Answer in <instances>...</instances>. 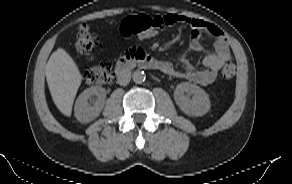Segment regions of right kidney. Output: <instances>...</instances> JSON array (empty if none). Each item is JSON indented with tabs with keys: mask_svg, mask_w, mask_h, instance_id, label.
<instances>
[{
	"mask_svg": "<svg viewBox=\"0 0 292 184\" xmlns=\"http://www.w3.org/2000/svg\"><path fill=\"white\" fill-rule=\"evenodd\" d=\"M105 98L106 91L102 87L93 86L84 90L75 103L74 111L77 120L81 123H88L97 118L104 107Z\"/></svg>",
	"mask_w": 292,
	"mask_h": 184,
	"instance_id": "obj_1",
	"label": "right kidney"
}]
</instances>
